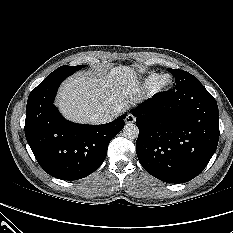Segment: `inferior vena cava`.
Segmentation results:
<instances>
[{
  "instance_id": "inferior-vena-cava-1",
  "label": "inferior vena cava",
  "mask_w": 233,
  "mask_h": 233,
  "mask_svg": "<svg viewBox=\"0 0 233 233\" xmlns=\"http://www.w3.org/2000/svg\"><path fill=\"white\" fill-rule=\"evenodd\" d=\"M114 119L112 115L98 113L92 116L91 121L95 124H104Z\"/></svg>"
}]
</instances>
